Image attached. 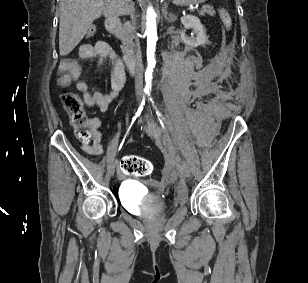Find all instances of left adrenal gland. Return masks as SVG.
Returning <instances> with one entry per match:
<instances>
[{"label":"left adrenal gland","mask_w":308,"mask_h":283,"mask_svg":"<svg viewBox=\"0 0 308 283\" xmlns=\"http://www.w3.org/2000/svg\"><path fill=\"white\" fill-rule=\"evenodd\" d=\"M163 14H164V18L168 21V22H173L175 21V15L174 14H169V17H167L168 15V12H167V4L164 5V8H163Z\"/></svg>","instance_id":"left-adrenal-gland-1"}]
</instances>
